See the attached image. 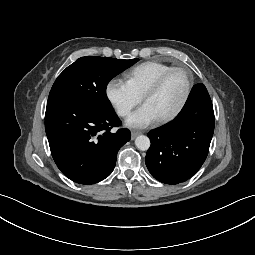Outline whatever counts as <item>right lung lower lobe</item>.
Returning a JSON list of instances; mask_svg holds the SVG:
<instances>
[{"instance_id": "obj_1", "label": "right lung lower lobe", "mask_w": 255, "mask_h": 255, "mask_svg": "<svg viewBox=\"0 0 255 255\" xmlns=\"http://www.w3.org/2000/svg\"><path fill=\"white\" fill-rule=\"evenodd\" d=\"M121 121L113 112H101L71 99L48 100L45 130L52 157L61 172L79 184L107 178L118 150L130 140L128 129L112 133Z\"/></svg>"}]
</instances>
